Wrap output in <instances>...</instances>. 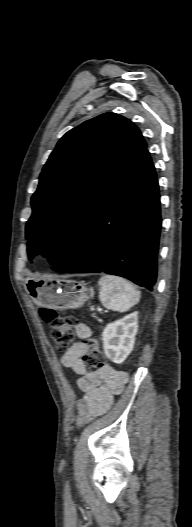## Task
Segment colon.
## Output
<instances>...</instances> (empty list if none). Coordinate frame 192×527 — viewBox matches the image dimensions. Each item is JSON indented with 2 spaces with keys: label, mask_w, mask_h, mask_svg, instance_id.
Segmentation results:
<instances>
[{
  "label": "colon",
  "mask_w": 192,
  "mask_h": 527,
  "mask_svg": "<svg viewBox=\"0 0 192 527\" xmlns=\"http://www.w3.org/2000/svg\"><path fill=\"white\" fill-rule=\"evenodd\" d=\"M41 318L49 324L50 335L56 348L67 349L75 339L73 327L76 320L71 316H64L50 308L40 309ZM88 347L83 356V361L89 369L99 370L104 367V355L100 350L99 343L95 338H87L81 341Z\"/></svg>",
  "instance_id": "colon-1"
}]
</instances>
